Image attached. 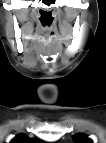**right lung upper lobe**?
<instances>
[{
    "instance_id": "1",
    "label": "right lung upper lobe",
    "mask_w": 106,
    "mask_h": 143,
    "mask_svg": "<svg viewBox=\"0 0 106 143\" xmlns=\"http://www.w3.org/2000/svg\"><path fill=\"white\" fill-rule=\"evenodd\" d=\"M37 141V138L32 139L25 134H19L10 143H36Z\"/></svg>"
}]
</instances>
